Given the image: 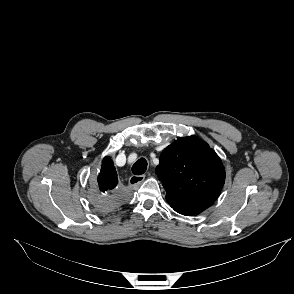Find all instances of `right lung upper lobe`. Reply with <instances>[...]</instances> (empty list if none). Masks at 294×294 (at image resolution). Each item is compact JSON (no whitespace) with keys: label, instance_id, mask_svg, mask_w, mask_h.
I'll return each instance as SVG.
<instances>
[{"label":"right lung upper lobe","instance_id":"1","mask_svg":"<svg viewBox=\"0 0 294 294\" xmlns=\"http://www.w3.org/2000/svg\"><path fill=\"white\" fill-rule=\"evenodd\" d=\"M97 181L99 189L102 192L111 193V191L117 186V173L110 157H105L103 159Z\"/></svg>","mask_w":294,"mask_h":294}]
</instances>
